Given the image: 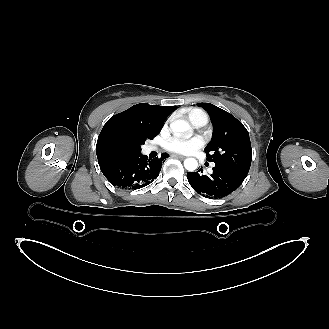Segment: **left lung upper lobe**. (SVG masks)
<instances>
[{
    "mask_svg": "<svg viewBox=\"0 0 329 329\" xmlns=\"http://www.w3.org/2000/svg\"><path fill=\"white\" fill-rule=\"evenodd\" d=\"M211 117L212 139L204 149L207 160L248 174L252 149L249 133L233 115L210 103H199Z\"/></svg>",
    "mask_w": 329,
    "mask_h": 329,
    "instance_id": "obj_1",
    "label": "left lung upper lobe"
}]
</instances>
